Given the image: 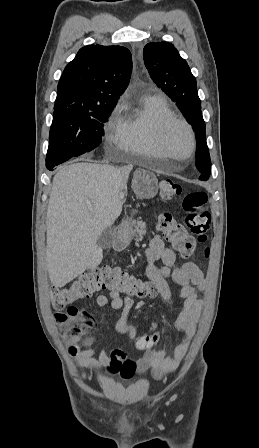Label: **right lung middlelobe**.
<instances>
[{"label":"right lung middle lobe","mask_w":259,"mask_h":448,"mask_svg":"<svg viewBox=\"0 0 259 448\" xmlns=\"http://www.w3.org/2000/svg\"><path fill=\"white\" fill-rule=\"evenodd\" d=\"M113 108H98L77 113H54L46 156L47 169L90 152L101 143L104 123Z\"/></svg>","instance_id":"1"}]
</instances>
